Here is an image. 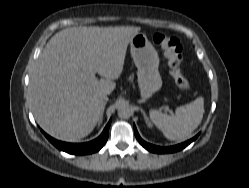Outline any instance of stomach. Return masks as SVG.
<instances>
[{
  "instance_id": "1",
  "label": "stomach",
  "mask_w": 249,
  "mask_h": 188,
  "mask_svg": "<svg viewBox=\"0 0 249 188\" xmlns=\"http://www.w3.org/2000/svg\"><path fill=\"white\" fill-rule=\"evenodd\" d=\"M130 51L138 69V86L142 97L148 98L162 86L158 71L159 56L144 33H137L130 40Z\"/></svg>"
}]
</instances>
